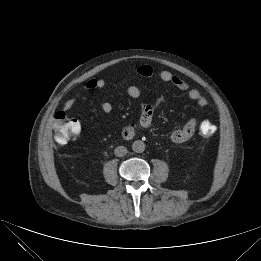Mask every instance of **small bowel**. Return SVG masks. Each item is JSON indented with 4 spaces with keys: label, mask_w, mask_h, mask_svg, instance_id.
Returning a JSON list of instances; mask_svg holds the SVG:
<instances>
[{
    "label": "small bowel",
    "mask_w": 261,
    "mask_h": 261,
    "mask_svg": "<svg viewBox=\"0 0 261 261\" xmlns=\"http://www.w3.org/2000/svg\"><path fill=\"white\" fill-rule=\"evenodd\" d=\"M137 73L143 77H149L153 74V69L149 65H141L137 68ZM159 78L164 81L173 84L179 90L187 91L188 97L194 101L198 106L205 107L208 103L207 99L202 96L199 90L197 89H190L189 84L178 77L177 75L173 74L170 71L164 70L159 73ZM106 82L103 78H91L85 83V87L89 90L93 89H102L104 88ZM127 94L134 99H139L141 97V91L136 86H129L126 90ZM75 105V99H69L64 104V111H69ZM112 104L110 102H104L101 105V109L104 113L109 114L112 111ZM76 120V119H75ZM153 121V108L149 105H144L141 108V114L139 118V125L142 128H149ZM206 121V120H205ZM203 121V122H205ZM79 131H80V124L76 120ZM202 122V123H203ZM201 123V124H202ZM200 124V126H201ZM199 122L196 118H191L183 127L174 130L171 135L170 139L174 143H183L189 140L195 133ZM136 135V128L133 125H128L122 130V136L124 139H132Z\"/></svg>",
    "instance_id": "obj_1"
}]
</instances>
